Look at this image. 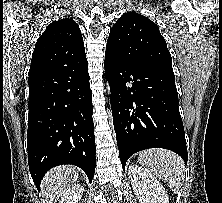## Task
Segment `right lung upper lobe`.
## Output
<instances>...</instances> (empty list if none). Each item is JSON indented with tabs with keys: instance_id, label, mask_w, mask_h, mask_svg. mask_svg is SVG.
<instances>
[{
	"instance_id": "right-lung-upper-lobe-1",
	"label": "right lung upper lobe",
	"mask_w": 222,
	"mask_h": 203,
	"mask_svg": "<svg viewBox=\"0 0 222 203\" xmlns=\"http://www.w3.org/2000/svg\"><path fill=\"white\" fill-rule=\"evenodd\" d=\"M87 64L79 26L69 18L52 22L38 38L32 55L29 77L59 68Z\"/></svg>"
}]
</instances>
